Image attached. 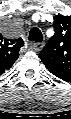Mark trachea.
Wrapping results in <instances>:
<instances>
[{
	"label": "trachea",
	"instance_id": "trachea-1",
	"mask_svg": "<svg viewBox=\"0 0 71 119\" xmlns=\"http://www.w3.org/2000/svg\"><path fill=\"white\" fill-rule=\"evenodd\" d=\"M28 39L30 41L41 42L43 40V35L37 27H34L31 29Z\"/></svg>",
	"mask_w": 71,
	"mask_h": 119
}]
</instances>
